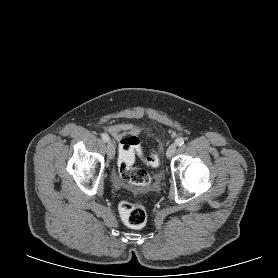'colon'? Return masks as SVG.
I'll return each mask as SVG.
<instances>
[{"label":"colon","instance_id":"colon-1","mask_svg":"<svg viewBox=\"0 0 278 278\" xmlns=\"http://www.w3.org/2000/svg\"><path fill=\"white\" fill-rule=\"evenodd\" d=\"M140 143L136 137H127L119 144L118 170L120 176L127 182L138 185L148 186L151 183L150 175L143 169L133 166L135 156L140 153ZM144 162L151 167L159 164V157L155 151H151ZM119 214L122 221L129 227H143L147 220L145 207L138 202L123 200L119 204Z\"/></svg>","mask_w":278,"mask_h":278}]
</instances>
